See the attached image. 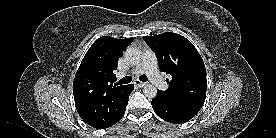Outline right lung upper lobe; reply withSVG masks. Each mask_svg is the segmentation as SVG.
Here are the masks:
<instances>
[{
  "label": "right lung upper lobe",
  "instance_id": "obj_1",
  "mask_svg": "<svg viewBox=\"0 0 276 138\" xmlns=\"http://www.w3.org/2000/svg\"><path fill=\"white\" fill-rule=\"evenodd\" d=\"M133 38L97 39L85 54L74 78L73 94L80 117L98 129L116 124L129 99V85L114 84L119 57Z\"/></svg>",
  "mask_w": 276,
  "mask_h": 138
}]
</instances>
